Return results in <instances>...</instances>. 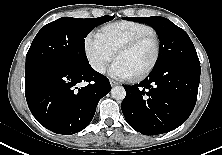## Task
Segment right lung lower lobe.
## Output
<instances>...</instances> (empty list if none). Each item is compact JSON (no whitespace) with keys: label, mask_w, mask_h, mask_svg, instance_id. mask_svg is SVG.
I'll return each mask as SVG.
<instances>
[{"label":"right lung lower lobe","mask_w":222,"mask_h":155,"mask_svg":"<svg viewBox=\"0 0 222 155\" xmlns=\"http://www.w3.org/2000/svg\"><path fill=\"white\" fill-rule=\"evenodd\" d=\"M81 82L87 85L78 87ZM110 90L108 78L90 64L50 66L25 76L31 113L45 128L63 135L84 129L93 119L99 100Z\"/></svg>","instance_id":"1"}]
</instances>
